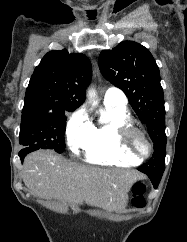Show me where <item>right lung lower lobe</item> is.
Listing matches in <instances>:
<instances>
[{
    "label": "right lung lower lobe",
    "mask_w": 187,
    "mask_h": 242,
    "mask_svg": "<svg viewBox=\"0 0 187 242\" xmlns=\"http://www.w3.org/2000/svg\"><path fill=\"white\" fill-rule=\"evenodd\" d=\"M35 150H38V148H35V147H26L24 149H22L20 152H19V157L23 163V160H24V157L30 153V152H33Z\"/></svg>",
    "instance_id": "98d812e1"
}]
</instances>
